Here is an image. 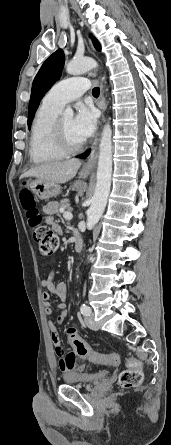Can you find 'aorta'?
Here are the masks:
<instances>
[{
	"label": "aorta",
	"mask_w": 171,
	"mask_h": 445,
	"mask_svg": "<svg viewBox=\"0 0 171 445\" xmlns=\"http://www.w3.org/2000/svg\"><path fill=\"white\" fill-rule=\"evenodd\" d=\"M98 66L97 62L89 57L73 59L66 66L70 75H79ZM66 117H72V109H66ZM112 130L109 123L105 124L99 144V156L97 166V182L92 197L91 205L87 211V226H95L101 218L108 200L112 178Z\"/></svg>",
	"instance_id": "aorta-1"
}]
</instances>
